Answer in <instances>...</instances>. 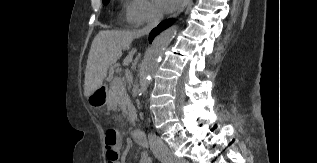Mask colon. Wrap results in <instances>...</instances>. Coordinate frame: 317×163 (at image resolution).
<instances>
[{
    "instance_id": "obj_1",
    "label": "colon",
    "mask_w": 317,
    "mask_h": 163,
    "mask_svg": "<svg viewBox=\"0 0 317 163\" xmlns=\"http://www.w3.org/2000/svg\"><path fill=\"white\" fill-rule=\"evenodd\" d=\"M119 135L115 129H107L105 132V152L108 163H115L119 157Z\"/></svg>"
}]
</instances>
